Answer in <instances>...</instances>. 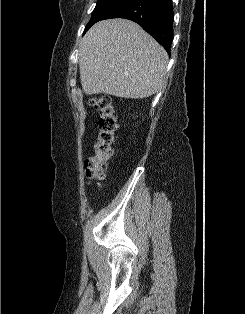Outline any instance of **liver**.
Segmentation results:
<instances>
[{"label":"liver","mask_w":245,"mask_h":314,"mask_svg":"<svg viewBox=\"0 0 245 314\" xmlns=\"http://www.w3.org/2000/svg\"><path fill=\"white\" fill-rule=\"evenodd\" d=\"M78 60L87 95L143 99L164 86L168 54L133 21L109 19L81 39Z\"/></svg>","instance_id":"6515ba94"}]
</instances>
